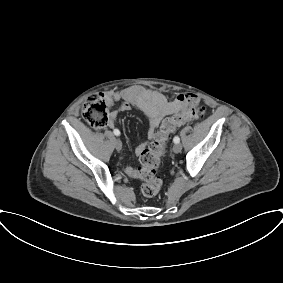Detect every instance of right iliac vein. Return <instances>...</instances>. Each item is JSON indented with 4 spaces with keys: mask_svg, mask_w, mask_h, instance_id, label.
<instances>
[{
    "mask_svg": "<svg viewBox=\"0 0 283 283\" xmlns=\"http://www.w3.org/2000/svg\"><path fill=\"white\" fill-rule=\"evenodd\" d=\"M114 144L117 151H120L122 149V142L120 139H115Z\"/></svg>",
    "mask_w": 283,
    "mask_h": 283,
    "instance_id": "1",
    "label": "right iliac vein"
}]
</instances>
